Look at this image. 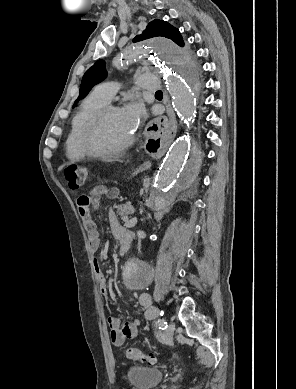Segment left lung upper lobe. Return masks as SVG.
Returning <instances> with one entry per match:
<instances>
[{
	"label": "left lung upper lobe",
	"mask_w": 296,
	"mask_h": 389,
	"mask_svg": "<svg viewBox=\"0 0 296 389\" xmlns=\"http://www.w3.org/2000/svg\"><path fill=\"white\" fill-rule=\"evenodd\" d=\"M156 36H163L169 38L179 46L184 45V42L178 29H176L169 23L160 20H154L150 22L146 29L143 31V33L137 35L133 39V42H138ZM106 75L107 72L105 70V61L98 60L97 62H95V64L86 71L82 78L79 96L76 99L75 103L78 102L81 98H84L95 84L104 80L106 78Z\"/></svg>",
	"instance_id": "left-lung-upper-lobe-1"
}]
</instances>
